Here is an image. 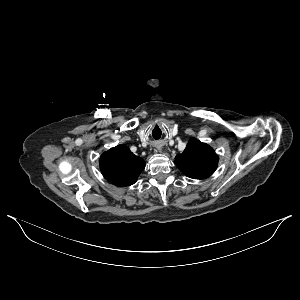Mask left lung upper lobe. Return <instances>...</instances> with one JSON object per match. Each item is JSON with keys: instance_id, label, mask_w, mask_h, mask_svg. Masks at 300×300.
<instances>
[{"instance_id": "left-lung-upper-lobe-1", "label": "left lung upper lobe", "mask_w": 300, "mask_h": 300, "mask_svg": "<svg viewBox=\"0 0 300 300\" xmlns=\"http://www.w3.org/2000/svg\"><path fill=\"white\" fill-rule=\"evenodd\" d=\"M175 164L187 177L205 179L216 170L218 157L208 144L191 138L183 153L175 157Z\"/></svg>"}]
</instances>
